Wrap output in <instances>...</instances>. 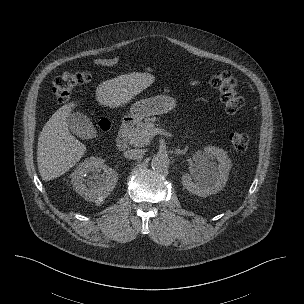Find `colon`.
<instances>
[{
    "label": "colon",
    "mask_w": 304,
    "mask_h": 304,
    "mask_svg": "<svg viewBox=\"0 0 304 304\" xmlns=\"http://www.w3.org/2000/svg\"><path fill=\"white\" fill-rule=\"evenodd\" d=\"M90 72H65L58 76L52 88V94L55 101L59 104H66L70 95L76 87L87 83L91 80ZM211 85L216 89L221 96V101L225 110L234 114L244 106V99L237 90V85L234 77L228 71H222L211 79ZM99 127L102 130L110 128V122L107 119H102L99 122ZM230 142L235 150L243 152L249 146V136L242 132H233L230 134Z\"/></svg>",
    "instance_id": "colon-1"
}]
</instances>
